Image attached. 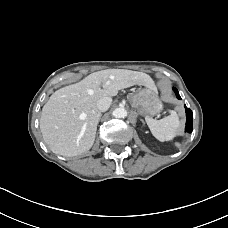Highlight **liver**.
<instances>
[{"mask_svg": "<svg viewBox=\"0 0 228 228\" xmlns=\"http://www.w3.org/2000/svg\"><path fill=\"white\" fill-rule=\"evenodd\" d=\"M133 85L157 90L146 73L107 69L55 91L43 106L40 118L45 143L54 153L67 157L88 151L94 143L101 116L97 102Z\"/></svg>", "mask_w": 228, "mask_h": 228, "instance_id": "6515ba94", "label": "liver"}]
</instances>
